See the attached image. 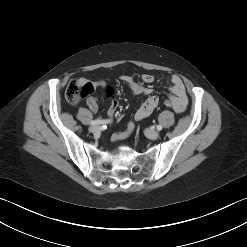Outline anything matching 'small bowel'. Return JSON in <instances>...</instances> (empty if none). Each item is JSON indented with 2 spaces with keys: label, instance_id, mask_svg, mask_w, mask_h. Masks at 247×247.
Returning <instances> with one entry per match:
<instances>
[{
  "label": "small bowel",
  "instance_id": "c3829d8e",
  "mask_svg": "<svg viewBox=\"0 0 247 247\" xmlns=\"http://www.w3.org/2000/svg\"><path fill=\"white\" fill-rule=\"evenodd\" d=\"M142 81L144 83H152L154 81V76L151 74H143L142 75ZM122 82H124L127 87L130 89L131 93L135 96H148L147 99L139 106V108L136 110L134 118L135 120L139 121L146 117H148L157 107L158 105V98L154 95H152V89L150 87H144L142 84L136 82L132 77L130 76H122L121 77ZM78 82L81 85L90 84L93 89L96 87H102L106 89L107 96L111 99L110 106L108 109V114L110 116L114 115L118 110V101L114 96V90L113 88L107 86L106 82L96 81L91 82L86 78H80ZM171 83V93L172 95L169 97L174 103V110L177 113H182L188 104V97L186 94V88L182 81V79L178 75H173L170 78ZM87 106L89 109L95 113L98 110V103L95 97L89 96L86 100ZM134 129V124L132 122L128 123L127 130L120 133H115L113 135L114 140L122 139L129 135Z\"/></svg>",
  "mask_w": 247,
  "mask_h": 247
}]
</instances>
